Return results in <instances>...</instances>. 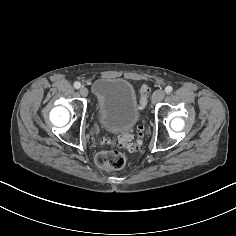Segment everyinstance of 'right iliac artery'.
I'll return each instance as SVG.
<instances>
[{"label": "right iliac artery", "mask_w": 236, "mask_h": 236, "mask_svg": "<svg viewBox=\"0 0 236 236\" xmlns=\"http://www.w3.org/2000/svg\"><path fill=\"white\" fill-rule=\"evenodd\" d=\"M74 87H75L76 89H79V88L81 87L80 82H75V83H74Z\"/></svg>", "instance_id": "obj_1"}]
</instances>
